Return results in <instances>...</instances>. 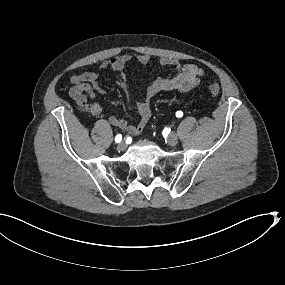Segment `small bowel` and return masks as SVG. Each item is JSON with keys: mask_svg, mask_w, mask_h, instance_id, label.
Instances as JSON below:
<instances>
[{"mask_svg": "<svg viewBox=\"0 0 285 285\" xmlns=\"http://www.w3.org/2000/svg\"><path fill=\"white\" fill-rule=\"evenodd\" d=\"M136 60L141 65H147L150 57L146 54H139L133 57L129 54H123L114 57L110 60H105L101 63L102 69H111L117 72H123L130 62ZM162 66L173 67L176 74L169 78H157L153 80L147 88L145 97L136 102V108L139 114V121L136 124L130 125L124 119L111 116L109 123L130 135L140 134L151 118V101L163 91H178L186 93L196 87L203 75L202 69L194 64H180V62L171 57L160 59ZM72 87L69 91L71 98L82 108L93 115H98L101 112V107L97 102L88 103L87 98L94 99L96 93L104 94L105 89L97 80V74L91 71H85L75 74L70 79ZM117 84L126 94L127 101H132V95L128 88L124 77H121Z\"/></svg>", "mask_w": 285, "mask_h": 285, "instance_id": "c3829d8e", "label": "small bowel"}]
</instances>
